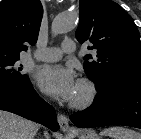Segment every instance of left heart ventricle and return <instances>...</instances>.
<instances>
[{
  "label": "left heart ventricle",
  "instance_id": "left-heart-ventricle-1",
  "mask_svg": "<svg viewBox=\"0 0 141 139\" xmlns=\"http://www.w3.org/2000/svg\"><path fill=\"white\" fill-rule=\"evenodd\" d=\"M79 95H80V90L77 88V91H76V94H75L74 98L78 97Z\"/></svg>",
  "mask_w": 141,
  "mask_h": 139
}]
</instances>
